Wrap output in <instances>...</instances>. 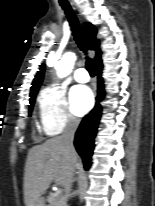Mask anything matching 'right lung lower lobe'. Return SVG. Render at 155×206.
<instances>
[{"label": "right lung lower lobe", "instance_id": "obj_1", "mask_svg": "<svg viewBox=\"0 0 155 206\" xmlns=\"http://www.w3.org/2000/svg\"><path fill=\"white\" fill-rule=\"evenodd\" d=\"M102 67V64L97 66L98 90L96 105L92 111L83 118L75 134L74 145L77 152L82 157L85 169H89L91 165V156L94 149V138L97 133L98 123L101 116V106L99 103L105 95L103 79L101 77Z\"/></svg>", "mask_w": 155, "mask_h": 206}]
</instances>
